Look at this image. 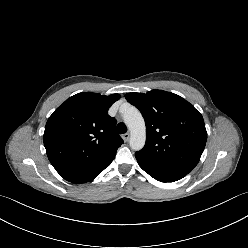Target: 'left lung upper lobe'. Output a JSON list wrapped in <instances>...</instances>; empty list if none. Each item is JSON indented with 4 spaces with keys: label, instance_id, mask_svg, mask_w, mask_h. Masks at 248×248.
Returning a JSON list of instances; mask_svg holds the SVG:
<instances>
[{
    "label": "left lung upper lobe",
    "instance_id": "1",
    "mask_svg": "<svg viewBox=\"0 0 248 248\" xmlns=\"http://www.w3.org/2000/svg\"><path fill=\"white\" fill-rule=\"evenodd\" d=\"M127 101L142 113L146 144L136 159L153 166L189 173L205 148L207 132L202 115L182 97L162 91L127 93Z\"/></svg>",
    "mask_w": 248,
    "mask_h": 248
}]
</instances>
